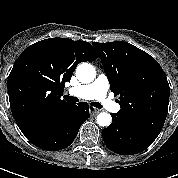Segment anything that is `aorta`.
I'll use <instances>...</instances> for the list:
<instances>
[{
	"mask_svg": "<svg viewBox=\"0 0 178 178\" xmlns=\"http://www.w3.org/2000/svg\"><path fill=\"white\" fill-rule=\"evenodd\" d=\"M96 75L95 68L89 63H81L76 68V78L81 83H90ZM97 123L100 126L108 127L111 124L112 118L109 113L101 112L97 115Z\"/></svg>",
	"mask_w": 178,
	"mask_h": 178,
	"instance_id": "obj_1",
	"label": "aorta"
}]
</instances>
